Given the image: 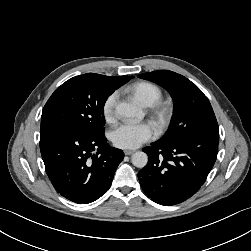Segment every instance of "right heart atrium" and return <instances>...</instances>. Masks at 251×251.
Listing matches in <instances>:
<instances>
[{
	"label": "right heart atrium",
	"instance_id": "right-heart-atrium-1",
	"mask_svg": "<svg viewBox=\"0 0 251 251\" xmlns=\"http://www.w3.org/2000/svg\"><path fill=\"white\" fill-rule=\"evenodd\" d=\"M118 99V92L110 93L102 104V114L106 121L110 122L115 117V105Z\"/></svg>",
	"mask_w": 251,
	"mask_h": 251
}]
</instances>
